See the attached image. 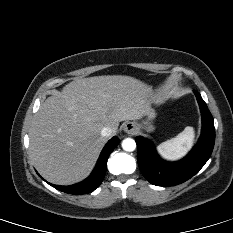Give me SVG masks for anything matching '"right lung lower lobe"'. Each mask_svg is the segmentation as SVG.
<instances>
[{
    "instance_id": "98d812e1",
    "label": "right lung lower lobe",
    "mask_w": 233,
    "mask_h": 233,
    "mask_svg": "<svg viewBox=\"0 0 233 233\" xmlns=\"http://www.w3.org/2000/svg\"><path fill=\"white\" fill-rule=\"evenodd\" d=\"M118 143L119 139L117 137H113L105 145L98 159L95 169L93 170L91 175L84 181L70 186H57L53 184L51 185L62 192L74 195H82L92 192L101 184L105 176L108 157L110 153L114 150V148L118 145Z\"/></svg>"
}]
</instances>
